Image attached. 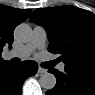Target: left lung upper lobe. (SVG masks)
I'll return each mask as SVG.
<instances>
[{"mask_svg":"<svg viewBox=\"0 0 95 95\" xmlns=\"http://www.w3.org/2000/svg\"><path fill=\"white\" fill-rule=\"evenodd\" d=\"M30 21L48 33V50L67 66L95 71V15L74 6L36 9Z\"/></svg>","mask_w":95,"mask_h":95,"instance_id":"5c2ea615","label":"left lung upper lobe"}]
</instances>
